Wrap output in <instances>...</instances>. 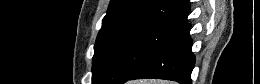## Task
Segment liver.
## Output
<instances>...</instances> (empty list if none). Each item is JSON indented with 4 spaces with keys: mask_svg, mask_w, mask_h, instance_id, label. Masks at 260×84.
<instances>
[{
    "mask_svg": "<svg viewBox=\"0 0 260 84\" xmlns=\"http://www.w3.org/2000/svg\"><path fill=\"white\" fill-rule=\"evenodd\" d=\"M134 84H165L164 81H153V80H144V81H135Z\"/></svg>",
    "mask_w": 260,
    "mask_h": 84,
    "instance_id": "liver-1",
    "label": "liver"
}]
</instances>
